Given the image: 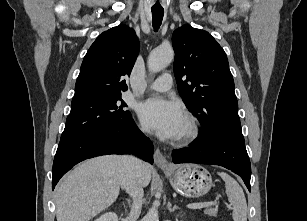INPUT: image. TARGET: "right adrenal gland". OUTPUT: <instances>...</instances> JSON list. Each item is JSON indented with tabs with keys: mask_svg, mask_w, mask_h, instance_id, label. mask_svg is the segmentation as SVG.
Segmentation results:
<instances>
[{
	"mask_svg": "<svg viewBox=\"0 0 307 221\" xmlns=\"http://www.w3.org/2000/svg\"><path fill=\"white\" fill-rule=\"evenodd\" d=\"M126 200H127V203L130 205L131 200L129 198H127Z\"/></svg>",
	"mask_w": 307,
	"mask_h": 221,
	"instance_id": "right-adrenal-gland-1",
	"label": "right adrenal gland"
}]
</instances>
